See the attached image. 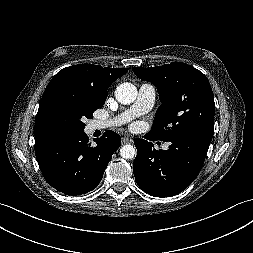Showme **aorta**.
<instances>
[{"mask_svg": "<svg viewBox=\"0 0 253 253\" xmlns=\"http://www.w3.org/2000/svg\"><path fill=\"white\" fill-rule=\"evenodd\" d=\"M137 88L132 83H122L115 90L116 100L124 105L131 104L137 97ZM120 155L124 159H133L136 149L133 145L126 144L120 149Z\"/></svg>", "mask_w": 253, "mask_h": 253, "instance_id": "1", "label": "aorta"}]
</instances>
